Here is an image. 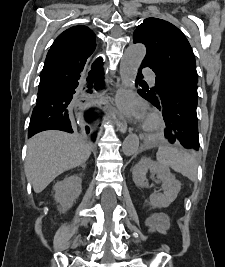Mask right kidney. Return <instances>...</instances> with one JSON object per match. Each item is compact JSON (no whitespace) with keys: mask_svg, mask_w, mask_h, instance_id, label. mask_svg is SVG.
Returning <instances> with one entry per match:
<instances>
[{"mask_svg":"<svg viewBox=\"0 0 225 267\" xmlns=\"http://www.w3.org/2000/svg\"><path fill=\"white\" fill-rule=\"evenodd\" d=\"M82 179L78 175H72L58 181L53 190L54 198L60 204L59 211L65 213L70 209L82 191Z\"/></svg>","mask_w":225,"mask_h":267,"instance_id":"obj_1","label":"right kidney"}]
</instances>
